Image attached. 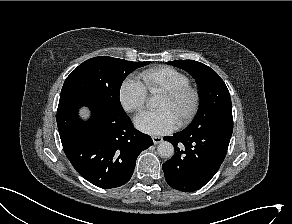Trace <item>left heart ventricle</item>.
Instances as JSON below:
<instances>
[{
	"label": "left heart ventricle",
	"instance_id": "b2bd125f",
	"mask_svg": "<svg viewBox=\"0 0 292 224\" xmlns=\"http://www.w3.org/2000/svg\"><path fill=\"white\" fill-rule=\"evenodd\" d=\"M190 101L191 98L189 96H185L177 101H171L166 96L161 95L157 108L169 110L177 121L188 108Z\"/></svg>",
	"mask_w": 292,
	"mask_h": 224
}]
</instances>
